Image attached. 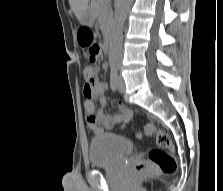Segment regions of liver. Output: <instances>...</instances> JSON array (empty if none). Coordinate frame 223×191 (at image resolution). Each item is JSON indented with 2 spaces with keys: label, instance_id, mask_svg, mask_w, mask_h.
I'll list each match as a JSON object with an SVG mask.
<instances>
[{
  "label": "liver",
  "instance_id": "liver-1",
  "mask_svg": "<svg viewBox=\"0 0 223 191\" xmlns=\"http://www.w3.org/2000/svg\"><path fill=\"white\" fill-rule=\"evenodd\" d=\"M89 0H69L70 7L80 21L82 14L88 8Z\"/></svg>",
  "mask_w": 223,
  "mask_h": 191
}]
</instances>
